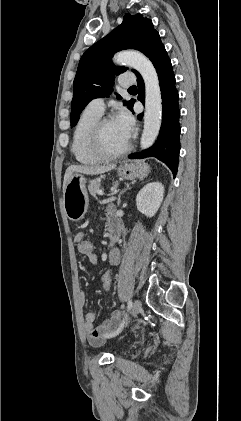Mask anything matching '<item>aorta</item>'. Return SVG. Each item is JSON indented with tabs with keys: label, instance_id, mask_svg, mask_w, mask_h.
Wrapping results in <instances>:
<instances>
[{
	"label": "aorta",
	"instance_id": "1",
	"mask_svg": "<svg viewBox=\"0 0 241 421\" xmlns=\"http://www.w3.org/2000/svg\"><path fill=\"white\" fill-rule=\"evenodd\" d=\"M114 62L136 69L145 83L144 129L140 139L141 149L155 142L162 120V98L157 72L151 61L139 51L125 50L114 56Z\"/></svg>",
	"mask_w": 241,
	"mask_h": 421
}]
</instances>
